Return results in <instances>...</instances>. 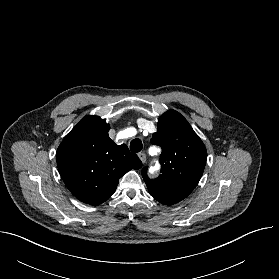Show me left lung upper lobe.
Returning a JSON list of instances; mask_svg holds the SVG:
<instances>
[{"instance_id":"1","label":"left lung upper lobe","mask_w":279,"mask_h":279,"mask_svg":"<svg viewBox=\"0 0 279 279\" xmlns=\"http://www.w3.org/2000/svg\"><path fill=\"white\" fill-rule=\"evenodd\" d=\"M151 143L162 148L161 175L151 180L145 167L143 179L154 199L173 205L186 198L198 184L207 159L205 145L187 120L174 110L159 118Z\"/></svg>"}]
</instances>
